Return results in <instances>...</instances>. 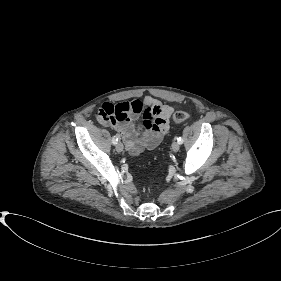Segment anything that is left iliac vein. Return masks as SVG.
Instances as JSON below:
<instances>
[{"label":"left iliac vein","mask_w":281,"mask_h":281,"mask_svg":"<svg viewBox=\"0 0 281 281\" xmlns=\"http://www.w3.org/2000/svg\"><path fill=\"white\" fill-rule=\"evenodd\" d=\"M179 149H180V144H179V142H178V141H174V142L172 143V151H173V152H178Z\"/></svg>","instance_id":"obj_1"}]
</instances>
